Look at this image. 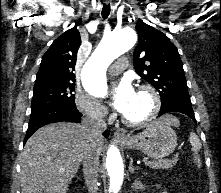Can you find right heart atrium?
I'll use <instances>...</instances> for the list:
<instances>
[{
  "mask_svg": "<svg viewBox=\"0 0 221 193\" xmlns=\"http://www.w3.org/2000/svg\"><path fill=\"white\" fill-rule=\"evenodd\" d=\"M74 104L79 112L94 121H105L109 116L108 110L86 93H76Z\"/></svg>",
  "mask_w": 221,
  "mask_h": 193,
  "instance_id": "obj_1",
  "label": "right heart atrium"
}]
</instances>
